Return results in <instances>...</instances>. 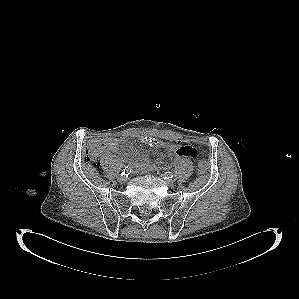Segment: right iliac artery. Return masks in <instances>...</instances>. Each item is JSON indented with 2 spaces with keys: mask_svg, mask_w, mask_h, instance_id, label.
Segmentation results:
<instances>
[{
  "mask_svg": "<svg viewBox=\"0 0 299 299\" xmlns=\"http://www.w3.org/2000/svg\"><path fill=\"white\" fill-rule=\"evenodd\" d=\"M132 172V167L131 166H127L123 169L121 175L122 176H128L129 174H131Z\"/></svg>",
  "mask_w": 299,
  "mask_h": 299,
  "instance_id": "1",
  "label": "right iliac artery"
}]
</instances>
